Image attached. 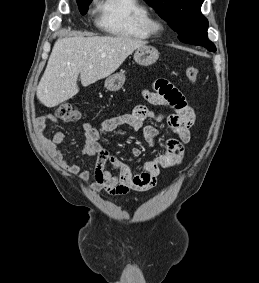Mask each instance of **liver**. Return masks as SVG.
I'll use <instances>...</instances> for the list:
<instances>
[{
	"label": "liver",
	"mask_w": 259,
	"mask_h": 283,
	"mask_svg": "<svg viewBox=\"0 0 259 283\" xmlns=\"http://www.w3.org/2000/svg\"><path fill=\"white\" fill-rule=\"evenodd\" d=\"M145 41L126 36L69 37L58 39L37 87V98L55 107L79 92L80 75L84 87L108 77Z\"/></svg>",
	"instance_id": "6515ba94"
}]
</instances>
